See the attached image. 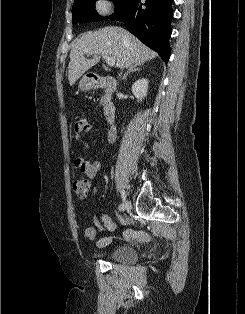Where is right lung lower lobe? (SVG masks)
Here are the masks:
<instances>
[{"label": "right lung lower lobe", "mask_w": 245, "mask_h": 314, "mask_svg": "<svg viewBox=\"0 0 245 314\" xmlns=\"http://www.w3.org/2000/svg\"><path fill=\"white\" fill-rule=\"evenodd\" d=\"M174 0H129L110 16L124 22L126 28L141 42L155 50L165 62L170 57L172 3Z\"/></svg>", "instance_id": "obj_1"}]
</instances>
